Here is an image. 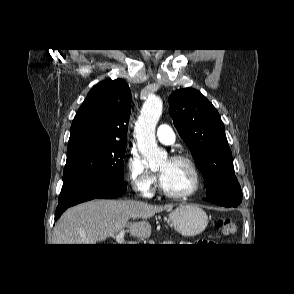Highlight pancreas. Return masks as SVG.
<instances>
[{
    "label": "pancreas",
    "instance_id": "cf45deb5",
    "mask_svg": "<svg viewBox=\"0 0 294 294\" xmlns=\"http://www.w3.org/2000/svg\"><path fill=\"white\" fill-rule=\"evenodd\" d=\"M164 244H172V243L165 242Z\"/></svg>",
    "mask_w": 294,
    "mask_h": 294
}]
</instances>
